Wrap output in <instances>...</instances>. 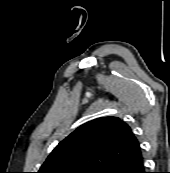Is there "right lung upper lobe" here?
<instances>
[{"label": "right lung upper lobe", "mask_w": 170, "mask_h": 173, "mask_svg": "<svg viewBox=\"0 0 170 173\" xmlns=\"http://www.w3.org/2000/svg\"><path fill=\"white\" fill-rule=\"evenodd\" d=\"M140 150L128 124L118 117H101L81 125L61 141L38 173H102Z\"/></svg>", "instance_id": "right-lung-upper-lobe-1"}]
</instances>
